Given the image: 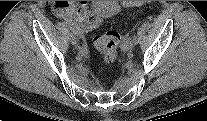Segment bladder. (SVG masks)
I'll return each instance as SVG.
<instances>
[{
  "instance_id": "1",
  "label": "bladder",
  "mask_w": 207,
  "mask_h": 121,
  "mask_svg": "<svg viewBox=\"0 0 207 121\" xmlns=\"http://www.w3.org/2000/svg\"><path fill=\"white\" fill-rule=\"evenodd\" d=\"M118 9V4L114 1H104L97 6L100 17L106 18L113 15Z\"/></svg>"
}]
</instances>
